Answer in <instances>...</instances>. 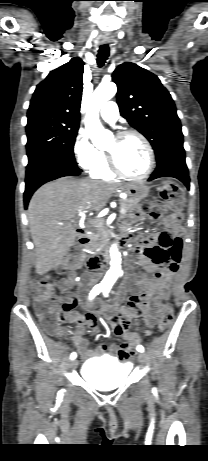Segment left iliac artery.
I'll return each instance as SVG.
<instances>
[{"label": "left iliac artery", "instance_id": "obj_1", "mask_svg": "<svg viewBox=\"0 0 208 461\" xmlns=\"http://www.w3.org/2000/svg\"><path fill=\"white\" fill-rule=\"evenodd\" d=\"M109 290H110V287H104V289H103V294H104L105 297L108 296ZM137 350H138L139 352H144V347L141 346V345H139V346H137Z\"/></svg>", "mask_w": 208, "mask_h": 461}]
</instances>
